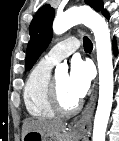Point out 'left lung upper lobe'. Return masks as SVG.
<instances>
[{
  "label": "left lung upper lobe",
  "mask_w": 119,
  "mask_h": 141,
  "mask_svg": "<svg viewBox=\"0 0 119 141\" xmlns=\"http://www.w3.org/2000/svg\"><path fill=\"white\" fill-rule=\"evenodd\" d=\"M85 3L96 11H101L108 17V12L103 7L101 0H85ZM54 9L50 5L42 6L34 16L30 24V41L27 46L25 58V68L30 70L41 53L48 47L52 39V22L54 19Z\"/></svg>",
  "instance_id": "obj_1"
}]
</instances>
